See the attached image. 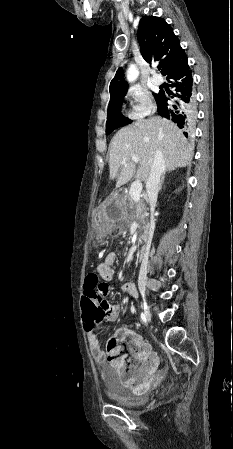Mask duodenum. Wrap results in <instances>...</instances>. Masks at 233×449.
Returning a JSON list of instances; mask_svg holds the SVG:
<instances>
[{"label":"duodenum","instance_id":"duodenum-1","mask_svg":"<svg viewBox=\"0 0 233 449\" xmlns=\"http://www.w3.org/2000/svg\"><path fill=\"white\" fill-rule=\"evenodd\" d=\"M137 258L139 259V260H144L145 258H146V253H145V251L144 250H140V251H138V253H137ZM138 289V288H137ZM138 291V290H137Z\"/></svg>","mask_w":233,"mask_h":449}]
</instances>
